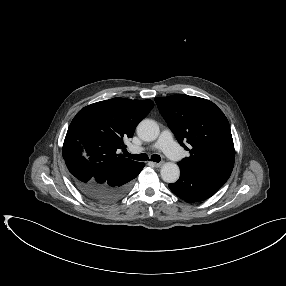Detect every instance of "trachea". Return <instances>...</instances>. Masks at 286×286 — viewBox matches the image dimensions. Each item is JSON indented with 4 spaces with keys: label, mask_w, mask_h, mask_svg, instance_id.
I'll return each mask as SVG.
<instances>
[{
    "label": "trachea",
    "mask_w": 286,
    "mask_h": 286,
    "mask_svg": "<svg viewBox=\"0 0 286 286\" xmlns=\"http://www.w3.org/2000/svg\"><path fill=\"white\" fill-rule=\"evenodd\" d=\"M124 154H125L126 157H129V158H131L133 160H138V161H146V160H148V156L145 153L133 155V154H130L127 151H125ZM151 160L154 161V162H160L161 157L159 155H157V154H154V155L151 156Z\"/></svg>",
    "instance_id": "trachea-1"
}]
</instances>
